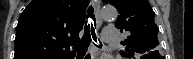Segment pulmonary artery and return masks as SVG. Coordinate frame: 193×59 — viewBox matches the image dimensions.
Masks as SVG:
<instances>
[{
    "label": "pulmonary artery",
    "mask_w": 193,
    "mask_h": 59,
    "mask_svg": "<svg viewBox=\"0 0 193 59\" xmlns=\"http://www.w3.org/2000/svg\"><path fill=\"white\" fill-rule=\"evenodd\" d=\"M114 28H107L103 34V41L106 43H115L117 41L116 35L113 33Z\"/></svg>",
    "instance_id": "pulmonary-artery-1"
}]
</instances>
